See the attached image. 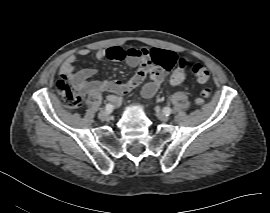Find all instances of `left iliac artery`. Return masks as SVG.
<instances>
[{
  "mask_svg": "<svg viewBox=\"0 0 270 213\" xmlns=\"http://www.w3.org/2000/svg\"><path fill=\"white\" fill-rule=\"evenodd\" d=\"M163 112L168 116L171 114V109L169 107H165Z\"/></svg>",
  "mask_w": 270,
  "mask_h": 213,
  "instance_id": "1",
  "label": "left iliac artery"
}]
</instances>
